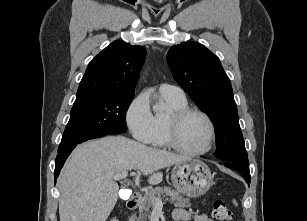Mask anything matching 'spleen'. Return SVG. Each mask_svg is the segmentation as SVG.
I'll list each match as a JSON object with an SVG mask.
<instances>
[{"label": "spleen", "instance_id": "spleen-1", "mask_svg": "<svg viewBox=\"0 0 307 221\" xmlns=\"http://www.w3.org/2000/svg\"><path fill=\"white\" fill-rule=\"evenodd\" d=\"M233 203H234L235 206H238V204L235 200H233Z\"/></svg>", "mask_w": 307, "mask_h": 221}]
</instances>
